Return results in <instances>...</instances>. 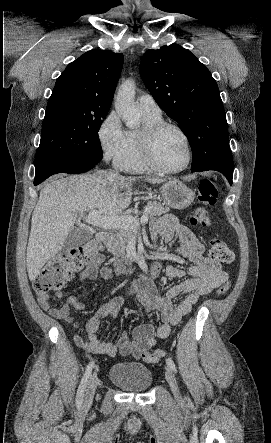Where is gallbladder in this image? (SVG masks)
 Listing matches in <instances>:
<instances>
[{"mask_svg": "<svg viewBox=\"0 0 271 443\" xmlns=\"http://www.w3.org/2000/svg\"><path fill=\"white\" fill-rule=\"evenodd\" d=\"M93 233L91 231H86V229H73L70 231L69 235H67L62 249H65L63 257L65 260H74L76 254L74 251H68V249H76V247H80L82 243L91 239Z\"/></svg>", "mask_w": 271, "mask_h": 443, "instance_id": "gallbladder-1", "label": "gallbladder"}]
</instances>
